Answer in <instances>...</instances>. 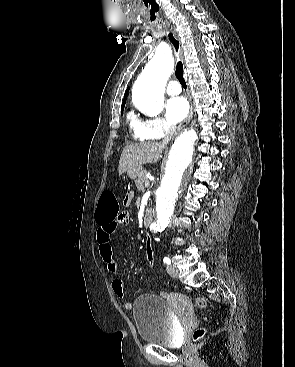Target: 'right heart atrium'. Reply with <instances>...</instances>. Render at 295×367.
I'll use <instances>...</instances> for the list:
<instances>
[{
    "label": "right heart atrium",
    "instance_id": "right-heart-atrium-1",
    "mask_svg": "<svg viewBox=\"0 0 295 367\" xmlns=\"http://www.w3.org/2000/svg\"><path fill=\"white\" fill-rule=\"evenodd\" d=\"M136 130L139 135L146 139H160L174 133L175 126L161 116H154L140 120Z\"/></svg>",
    "mask_w": 295,
    "mask_h": 367
}]
</instances>
